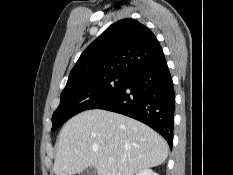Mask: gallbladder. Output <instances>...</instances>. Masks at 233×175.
<instances>
[{"label":"gallbladder","mask_w":233,"mask_h":175,"mask_svg":"<svg viewBox=\"0 0 233 175\" xmlns=\"http://www.w3.org/2000/svg\"><path fill=\"white\" fill-rule=\"evenodd\" d=\"M79 175H97V170L95 169V167L90 166L83 170Z\"/></svg>","instance_id":"bac80fb5"}]
</instances>
